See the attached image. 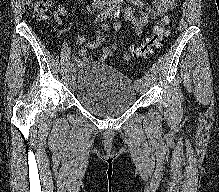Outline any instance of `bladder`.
I'll list each match as a JSON object with an SVG mask.
<instances>
[{"label":"bladder","mask_w":219,"mask_h":192,"mask_svg":"<svg viewBox=\"0 0 219 192\" xmlns=\"http://www.w3.org/2000/svg\"><path fill=\"white\" fill-rule=\"evenodd\" d=\"M75 98L88 112L102 118H112L136 103L137 88L113 66L91 62L79 71Z\"/></svg>","instance_id":"31cf9c89"}]
</instances>
